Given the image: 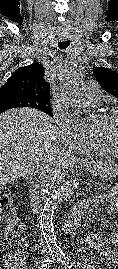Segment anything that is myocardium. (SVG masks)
Listing matches in <instances>:
<instances>
[{"label":"myocardium","mask_w":118,"mask_h":269,"mask_svg":"<svg viewBox=\"0 0 118 269\" xmlns=\"http://www.w3.org/2000/svg\"><path fill=\"white\" fill-rule=\"evenodd\" d=\"M116 116H118V108H112V109L106 111L104 114H102L101 118L109 121V120H112L113 118H115ZM94 138H95V140L102 141L103 143L108 145L111 149H113L118 154V142L117 141H114L105 135H97L96 134V135H94Z\"/></svg>","instance_id":"obj_1"}]
</instances>
